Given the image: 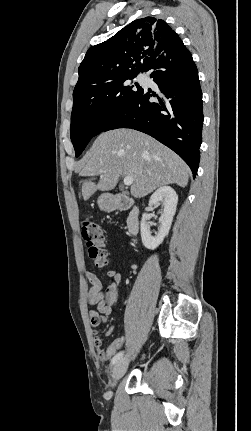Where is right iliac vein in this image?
Here are the masks:
<instances>
[{
  "label": "right iliac vein",
  "instance_id": "1",
  "mask_svg": "<svg viewBox=\"0 0 251 431\" xmlns=\"http://www.w3.org/2000/svg\"><path fill=\"white\" fill-rule=\"evenodd\" d=\"M128 358L120 359L113 367L111 386L114 387L119 379L123 377L128 367Z\"/></svg>",
  "mask_w": 251,
  "mask_h": 431
}]
</instances>
